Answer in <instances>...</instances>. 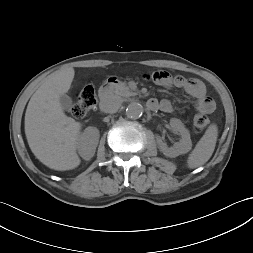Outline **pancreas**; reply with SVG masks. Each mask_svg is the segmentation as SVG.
Segmentation results:
<instances>
[{
	"mask_svg": "<svg viewBox=\"0 0 253 253\" xmlns=\"http://www.w3.org/2000/svg\"><path fill=\"white\" fill-rule=\"evenodd\" d=\"M114 93L116 95L122 96V97H128L135 95L134 92L130 90V88L126 85L124 82H119L116 87Z\"/></svg>",
	"mask_w": 253,
	"mask_h": 253,
	"instance_id": "pancreas-1",
	"label": "pancreas"
}]
</instances>
